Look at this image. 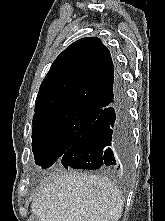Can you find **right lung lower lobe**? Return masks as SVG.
<instances>
[{"instance_id":"1","label":"right lung lower lobe","mask_w":165,"mask_h":221,"mask_svg":"<svg viewBox=\"0 0 165 221\" xmlns=\"http://www.w3.org/2000/svg\"><path fill=\"white\" fill-rule=\"evenodd\" d=\"M131 155L128 100L123 83L117 78L115 94L98 111L96 120L61 156L68 169H108L124 172Z\"/></svg>"}]
</instances>
